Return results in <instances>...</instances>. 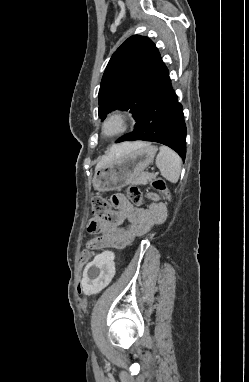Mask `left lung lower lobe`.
Segmentation results:
<instances>
[{"instance_id":"1","label":"left lung lower lobe","mask_w":249,"mask_h":382,"mask_svg":"<svg viewBox=\"0 0 249 382\" xmlns=\"http://www.w3.org/2000/svg\"><path fill=\"white\" fill-rule=\"evenodd\" d=\"M153 141L175 150L184 160L186 156V125L183 109L172 89L169 74L159 87L132 133L119 138L123 141Z\"/></svg>"}]
</instances>
